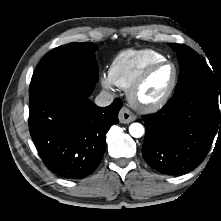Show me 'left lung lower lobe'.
I'll return each mask as SVG.
<instances>
[{
  "instance_id": "0a47b994",
  "label": "left lung lower lobe",
  "mask_w": 221,
  "mask_h": 221,
  "mask_svg": "<svg viewBox=\"0 0 221 221\" xmlns=\"http://www.w3.org/2000/svg\"><path fill=\"white\" fill-rule=\"evenodd\" d=\"M143 120L147 131L143 157L152 168L167 175L196 168L221 132L218 99L199 89L174 93L160 111L143 116Z\"/></svg>"
}]
</instances>
